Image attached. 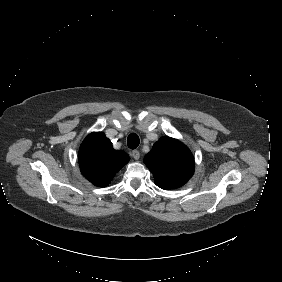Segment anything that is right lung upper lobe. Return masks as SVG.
<instances>
[{
  "label": "right lung upper lobe",
  "instance_id": "1",
  "mask_svg": "<svg viewBox=\"0 0 282 282\" xmlns=\"http://www.w3.org/2000/svg\"><path fill=\"white\" fill-rule=\"evenodd\" d=\"M128 161L129 156L121 150H114L103 132L89 134L79 149L83 176L99 187L107 186Z\"/></svg>",
  "mask_w": 282,
  "mask_h": 282
}]
</instances>
